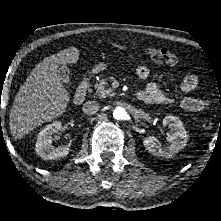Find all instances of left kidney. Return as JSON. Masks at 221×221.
<instances>
[{"label": "left kidney", "instance_id": "5707ae66", "mask_svg": "<svg viewBox=\"0 0 221 221\" xmlns=\"http://www.w3.org/2000/svg\"><path fill=\"white\" fill-rule=\"evenodd\" d=\"M163 125H168L170 128L167 133L169 144L162 146L156 142L154 136L149 135L143 140V145L154 156L170 158L187 145L188 134L178 117L166 116Z\"/></svg>", "mask_w": 221, "mask_h": 221}]
</instances>
